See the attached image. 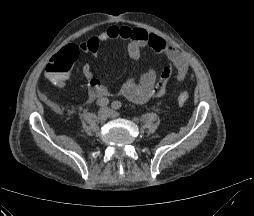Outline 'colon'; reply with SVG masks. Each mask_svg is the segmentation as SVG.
<instances>
[{
  "label": "colon",
  "mask_w": 254,
  "mask_h": 216,
  "mask_svg": "<svg viewBox=\"0 0 254 216\" xmlns=\"http://www.w3.org/2000/svg\"><path fill=\"white\" fill-rule=\"evenodd\" d=\"M76 55L72 58H67L64 55L57 56L53 59L52 63L47 65L46 71L50 78H57L66 73H69L72 62ZM176 99L178 103L185 104L189 99V93L185 89H179L176 92Z\"/></svg>",
  "instance_id": "5ec220e1"
}]
</instances>
